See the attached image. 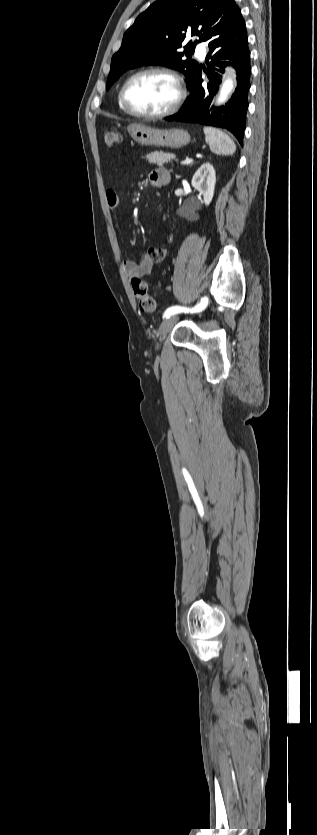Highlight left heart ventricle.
I'll list each match as a JSON object with an SVG mask.
<instances>
[{"label": "left heart ventricle", "mask_w": 317, "mask_h": 835, "mask_svg": "<svg viewBox=\"0 0 317 835\" xmlns=\"http://www.w3.org/2000/svg\"><path fill=\"white\" fill-rule=\"evenodd\" d=\"M177 88L172 79L161 74H147L135 79L127 91V98L136 110L158 113L176 99Z\"/></svg>", "instance_id": "obj_1"}]
</instances>
